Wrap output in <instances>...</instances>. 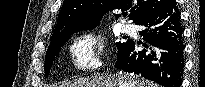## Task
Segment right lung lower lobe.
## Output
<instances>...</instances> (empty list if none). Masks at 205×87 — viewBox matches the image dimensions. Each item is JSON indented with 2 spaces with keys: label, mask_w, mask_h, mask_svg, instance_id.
Here are the masks:
<instances>
[{
  "label": "right lung lower lobe",
  "mask_w": 205,
  "mask_h": 87,
  "mask_svg": "<svg viewBox=\"0 0 205 87\" xmlns=\"http://www.w3.org/2000/svg\"><path fill=\"white\" fill-rule=\"evenodd\" d=\"M138 25L140 35L151 46L137 51L133 40L118 50L116 68L141 75L163 87H180L184 68L183 29L175 0L149 14Z\"/></svg>",
  "instance_id": "98d812e1"
}]
</instances>
